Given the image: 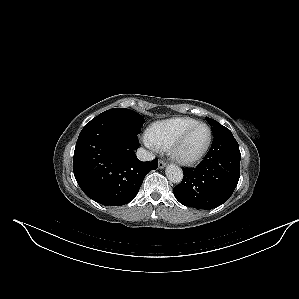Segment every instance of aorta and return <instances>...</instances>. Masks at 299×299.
<instances>
[{
	"instance_id": "1",
	"label": "aorta",
	"mask_w": 299,
	"mask_h": 299,
	"mask_svg": "<svg viewBox=\"0 0 299 299\" xmlns=\"http://www.w3.org/2000/svg\"><path fill=\"white\" fill-rule=\"evenodd\" d=\"M166 176L172 183H180L183 179V171L180 167L170 164L165 170Z\"/></svg>"
}]
</instances>
